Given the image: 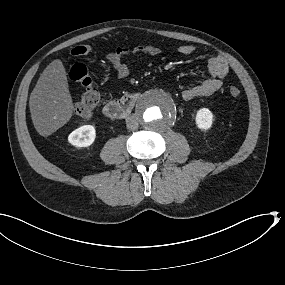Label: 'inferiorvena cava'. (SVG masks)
<instances>
[{
    "label": "inferior vena cava",
    "mask_w": 285,
    "mask_h": 285,
    "mask_svg": "<svg viewBox=\"0 0 285 285\" xmlns=\"http://www.w3.org/2000/svg\"><path fill=\"white\" fill-rule=\"evenodd\" d=\"M126 125L129 130L138 129V117L136 115H130L126 119Z\"/></svg>",
    "instance_id": "obj_1"
}]
</instances>
